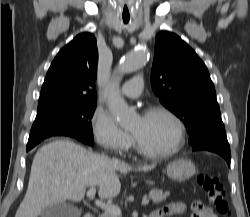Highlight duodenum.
Wrapping results in <instances>:
<instances>
[{"label":"duodenum","mask_w":250,"mask_h":217,"mask_svg":"<svg viewBox=\"0 0 250 217\" xmlns=\"http://www.w3.org/2000/svg\"><path fill=\"white\" fill-rule=\"evenodd\" d=\"M84 217H95V214L92 211L87 212ZM148 217H159V212L154 211Z\"/></svg>","instance_id":"obj_1"}]
</instances>
